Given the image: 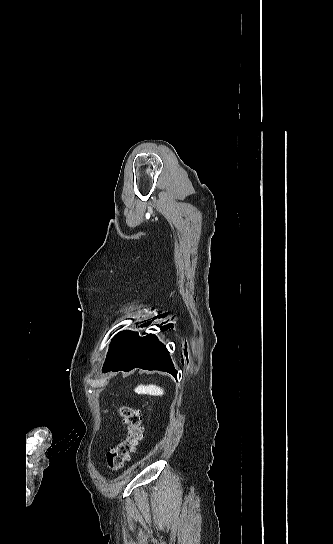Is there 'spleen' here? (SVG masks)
<instances>
[{
	"mask_svg": "<svg viewBox=\"0 0 333 544\" xmlns=\"http://www.w3.org/2000/svg\"><path fill=\"white\" fill-rule=\"evenodd\" d=\"M135 392L137 394H149L153 396H162L164 394V390L156 385H140L135 389Z\"/></svg>",
	"mask_w": 333,
	"mask_h": 544,
	"instance_id": "obj_1",
	"label": "spleen"
}]
</instances>
